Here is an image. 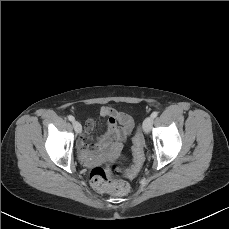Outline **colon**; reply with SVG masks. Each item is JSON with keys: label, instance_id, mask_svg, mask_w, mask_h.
<instances>
[{"label": "colon", "instance_id": "colon-1", "mask_svg": "<svg viewBox=\"0 0 229 229\" xmlns=\"http://www.w3.org/2000/svg\"><path fill=\"white\" fill-rule=\"evenodd\" d=\"M144 138L138 133L133 141V152L135 157L133 171L136 172L143 162ZM119 169L116 167L100 166L91 170L90 181L92 186L102 192H108L118 197L129 194L130 187L124 180L112 179L119 176Z\"/></svg>", "mask_w": 229, "mask_h": 229}]
</instances>
